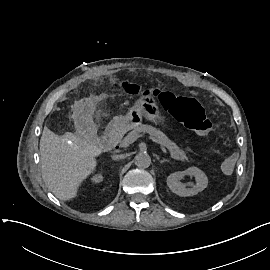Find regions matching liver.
<instances>
[{
  "instance_id": "liver-1",
  "label": "liver",
  "mask_w": 270,
  "mask_h": 270,
  "mask_svg": "<svg viewBox=\"0 0 270 270\" xmlns=\"http://www.w3.org/2000/svg\"><path fill=\"white\" fill-rule=\"evenodd\" d=\"M42 178L48 189L60 200L73 201L79 188L96 170L97 148L81 143H69L44 126L40 139Z\"/></svg>"
}]
</instances>
